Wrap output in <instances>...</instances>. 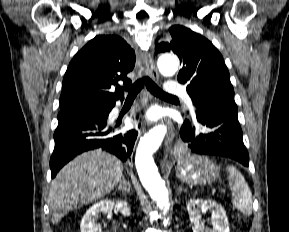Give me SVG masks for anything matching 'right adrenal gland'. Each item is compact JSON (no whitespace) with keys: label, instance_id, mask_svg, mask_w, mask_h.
I'll return each instance as SVG.
<instances>
[{"label":"right adrenal gland","instance_id":"right-adrenal-gland-1","mask_svg":"<svg viewBox=\"0 0 289 232\" xmlns=\"http://www.w3.org/2000/svg\"><path fill=\"white\" fill-rule=\"evenodd\" d=\"M131 188L130 183L125 180V177L122 176V180L119 183L118 191H123L124 193H129Z\"/></svg>","mask_w":289,"mask_h":232}]
</instances>
